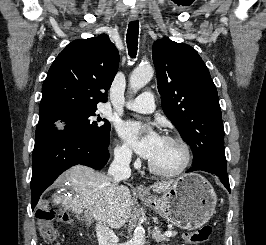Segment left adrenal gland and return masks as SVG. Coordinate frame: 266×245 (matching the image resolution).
Here are the masks:
<instances>
[{
    "mask_svg": "<svg viewBox=\"0 0 266 245\" xmlns=\"http://www.w3.org/2000/svg\"><path fill=\"white\" fill-rule=\"evenodd\" d=\"M152 239H155L156 243H161V241H169L167 237H164V235H162L161 229H159V227H154Z\"/></svg>",
    "mask_w": 266,
    "mask_h": 245,
    "instance_id": "left-adrenal-gland-1",
    "label": "left adrenal gland"
}]
</instances>
